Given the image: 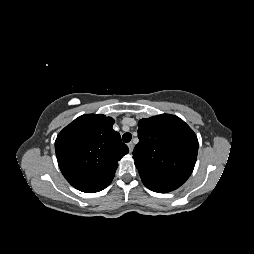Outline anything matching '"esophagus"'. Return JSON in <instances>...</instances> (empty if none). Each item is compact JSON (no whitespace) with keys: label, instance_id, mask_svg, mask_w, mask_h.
Returning <instances> with one entry per match:
<instances>
[{"label":"esophagus","instance_id":"1","mask_svg":"<svg viewBox=\"0 0 254 254\" xmlns=\"http://www.w3.org/2000/svg\"><path fill=\"white\" fill-rule=\"evenodd\" d=\"M128 148H129V151H130V152L133 151V149H134V144H133V142L128 143Z\"/></svg>","mask_w":254,"mask_h":254}]
</instances>
